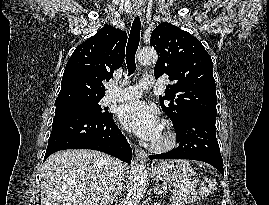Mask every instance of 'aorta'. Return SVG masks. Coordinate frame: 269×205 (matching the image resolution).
Instances as JSON below:
<instances>
[{"label":"aorta","mask_w":269,"mask_h":205,"mask_svg":"<svg viewBox=\"0 0 269 205\" xmlns=\"http://www.w3.org/2000/svg\"><path fill=\"white\" fill-rule=\"evenodd\" d=\"M158 59L154 49H142L138 53V61L141 64H155ZM148 183V173L143 162H135L133 167V179L131 187L121 205H138L143 198Z\"/></svg>","instance_id":"762f6f07"}]
</instances>
